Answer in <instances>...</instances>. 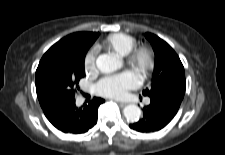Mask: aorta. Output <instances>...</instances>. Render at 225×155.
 Listing matches in <instances>:
<instances>
[{
    "mask_svg": "<svg viewBox=\"0 0 225 155\" xmlns=\"http://www.w3.org/2000/svg\"><path fill=\"white\" fill-rule=\"evenodd\" d=\"M96 66L102 73H112L122 66L120 59L113 54H102L96 60ZM129 122H137L141 117V109L135 105H127L123 110Z\"/></svg>",
    "mask_w": 225,
    "mask_h": 155,
    "instance_id": "aorta-1",
    "label": "aorta"
}]
</instances>
